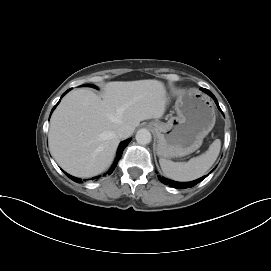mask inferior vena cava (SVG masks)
I'll list each match as a JSON object with an SVG mask.
<instances>
[{"label": "inferior vena cava", "mask_w": 271, "mask_h": 271, "mask_svg": "<svg viewBox=\"0 0 271 271\" xmlns=\"http://www.w3.org/2000/svg\"><path fill=\"white\" fill-rule=\"evenodd\" d=\"M133 131L134 129L132 127L124 125L117 130V135L119 138H128L132 135Z\"/></svg>", "instance_id": "1"}]
</instances>
